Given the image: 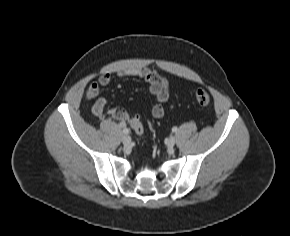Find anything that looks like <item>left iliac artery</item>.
Here are the masks:
<instances>
[{
    "label": "left iliac artery",
    "mask_w": 290,
    "mask_h": 236,
    "mask_svg": "<svg viewBox=\"0 0 290 236\" xmlns=\"http://www.w3.org/2000/svg\"><path fill=\"white\" fill-rule=\"evenodd\" d=\"M177 130H178L177 127H173V128H172V131H173V132H177Z\"/></svg>",
    "instance_id": "obj_1"
}]
</instances>
